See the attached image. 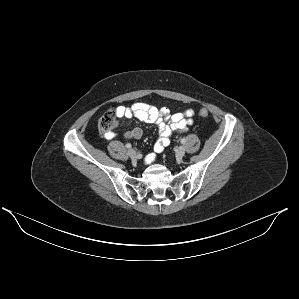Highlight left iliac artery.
<instances>
[{
    "label": "left iliac artery",
    "mask_w": 299,
    "mask_h": 299,
    "mask_svg": "<svg viewBox=\"0 0 299 299\" xmlns=\"http://www.w3.org/2000/svg\"><path fill=\"white\" fill-rule=\"evenodd\" d=\"M186 142V139H181V143L184 144Z\"/></svg>",
    "instance_id": "1"
}]
</instances>
